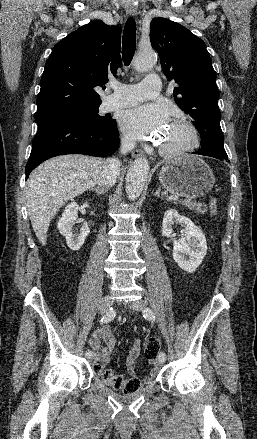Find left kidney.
Here are the masks:
<instances>
[{
    "label": "left kidney",
    "mask_w": 257,
    "mask_h": 439,
    "mask_svg": "<svg viewBox=\"0 0 257 439\" xmlns=\"http://www.w3.org/2000/svg\"><path fill=\"white\" fill-rule=\"evenodd\" d=\"M174 224H179L184 229L182 238L173 241V259L181 269L193 273L207 253L205 235L189 218L179 215L175 209H169L162 222V234L165 237L174 236Z\"/></svg>",
    "instance_id": "1"
}]
</instances>
